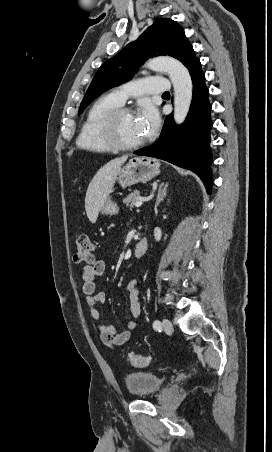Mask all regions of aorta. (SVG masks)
Instances as JSON below:
<instances>
[{
	"mask_svg": "<svg viewBox=\"0 0 272 452\" xmlns=\"http://www.w3.org/2000/svg\"><path fill=\"white\" fill-rule=\"evenodd\" d=\"M146 67L157 72H166L174 88V120L181 124L186 119L192 101L193 84L188 69L172 57H157L149 60Z\"/></svg>",
	"mask_w": 272,
	"mask_h": 452,
	"instance_id": "obj_1",
	"label": "aorta"
}]
</instances>
